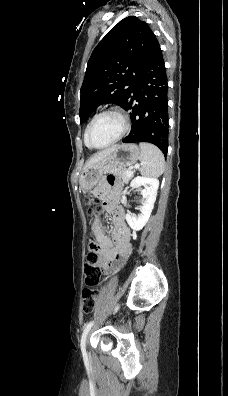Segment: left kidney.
<instances>
[{"instance_id":"obj_1","label":"left kidney","mask_w":228,"mask_h":396,"mask_svg":"<svg viewBox=\"0 0 228 396\" xmlns=\"http://www.w3.org/2000/svg\"><path fill=\"white\" fill-rule=\"evenodd\" d=\"M131 188H141L142 206L140 207V214L136 217L129 213L126 214V221L128 225L135 231L141 230L148 222L159 187V180L157 178L137 176L130 183Z\"/></svg>"}]
</instances>
